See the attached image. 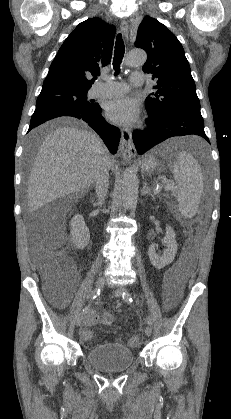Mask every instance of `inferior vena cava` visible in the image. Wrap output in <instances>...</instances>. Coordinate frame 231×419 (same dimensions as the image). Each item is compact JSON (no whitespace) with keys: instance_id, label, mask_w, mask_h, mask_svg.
I'll use <instances>...</instances> for the list:
<instances>
[{"instance_id":"602c4592","label":"inferior vena cava","mask_w":231,"mask_h":419,"mask_svg":"<svg viewBox=\"0 0 231 419\" xmlns=\"http://www.w3.org/2000/svg\"><path fill=\"white\" fill-rule=\"evenodd\" d=\"M109 169L110 163L108 161H104L99 165L96 173L95 190L99 206H102L107 196L109 186Z\"/></svg>"}]
</instances>
